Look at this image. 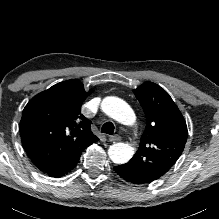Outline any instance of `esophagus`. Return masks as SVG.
Wrapping results in <instances>:
<instances>
[{
  "mask_svg": "<svg viewBox=\"0 0 219 219\" xmlns=\"http://www.w3.org/2000/svg\"><path fill=\"white\" fill-rule=\"evenodd\" d=\"M121 140V137L119 135H112L109 137L110 142H118Z\"/></svg>",
  "mask_w": 219,
  "mask_h": 219,
  "instance_id": "1",
  "label": "esophagus"
}]
</instances>
